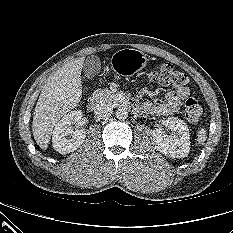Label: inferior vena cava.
I'll return each instance as SVG.
<instances>
[{"label":"inferior vena cava","instance_id":"obj_1","mask_svg":"<svg viewBox=\"0 0 233 233\" xmlns=\"http://www.w3.org/2000/svg\"><path fill=\"white\" fill-rule=\"evenodd\" d=\"M113 113V109L110 105L101 103L98 105L94 111V114L99 119L109 118Z\"/></svg>","mask_w":233,"mask_h":233}]
</instances>
